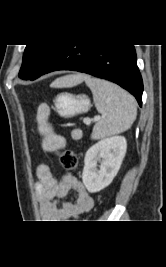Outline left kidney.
Instances as JSON below:
<instances>
[{"label":"left kidney","instance_id":"obj_1","mask_svg":"<svg viewBox=\"0 0 166 267\" xmlns=\"http://www.w3.org/2000/svg\"><path fill=\"white\" fill-rule=\"evenodd\" d=\"M126 149L125 137L113 136L99 141L87 150L82 180L90 193L99 192L113 181L120 169ZM97 162H100L99 170Z\"/></svg>","mask_w":166,"mask_h":267}]
</instances>
